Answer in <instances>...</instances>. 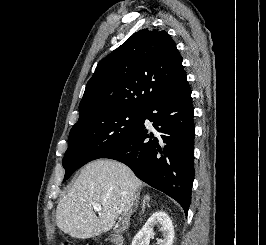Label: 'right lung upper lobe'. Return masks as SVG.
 Returning <instances> with one entry per match:
<instances>
[{
  "label": "right lung upper lobe",
  "mask_w": 266,
  "mask_h": 245,
  "mask_svg": "<svg viewBox=\"0 0 266 245\" xmlns=\"http://www.w3.org/2000/svg\"><path fill=\"white\" fill-rule=\"evenodd\" d=\"M186 80L182 57L166 31L134 33L96 67L79 105V118L98 110L147 109Z\"/></svg>",
  "instance_id": "right-lung-upper-lobe-1"
}]
</instances>
